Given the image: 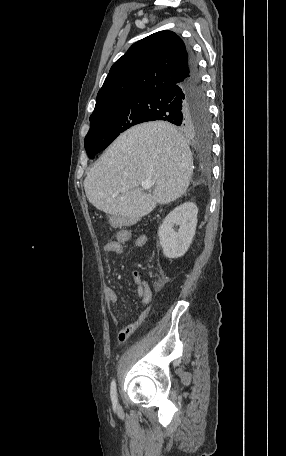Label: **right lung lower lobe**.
Wrapping results in <instances>:
<instances>
[{
  "instance_id": "98d812e1",
  "label": "right lung lower lobe",
  "mask_w": 286,
  "mask_h": 456,
  "mask_svg": "<svg viewBox=\"0 0 286 456\" xmlns=\"http://www.w3.org/2000/svg\"><path fill=\"white\" fill-rule=\"evenodd\" d=\"M144 106V121H169L184 130L202 122L209 114L198 63L189 51L188 75L173 83L140 96Z\"/></svg>"
}]
</instances>
